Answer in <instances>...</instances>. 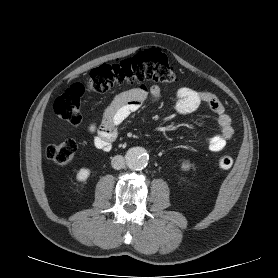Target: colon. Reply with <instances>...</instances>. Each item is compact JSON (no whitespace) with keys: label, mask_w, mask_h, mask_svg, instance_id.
I'll use <instances>...</instances> for the list:
<instances>
[{"label":"colon","mask_w":278,"mask_h":278,"mask_svg":"<svg viewBox=\"0 0 278 278\" xmlns=\"http://www.w3.org/2000/svg\"><path fill=\"white\" fill-rule=\"evenodd\" d=\"M144 81L165 83L178 81V76L169 64L166 53L159 49H149L118 63L103 64L94 68L86 87L74 84L55 100L54 112L60 119L77 125L82 120L81 101L86 89L93 93H103L116 85H133ZM76 150V142L66 140L48 146L46 156L56 165L64 166L71 162ZM217 164L221 169H229L233 159L229 155H221Z\"/></svg>","instance_id":"colon-1"}]
</instances>
